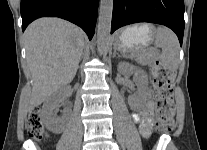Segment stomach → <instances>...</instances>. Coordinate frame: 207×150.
<instances>
[{
    "label": "stomach",
    "mask_w": 207,
    "mask_h": 150,
    "mask_svg": "<svg viewBox=\"0 0 207 150\" xmlns=\"http://www.w3.org/2000/svg\"><path fill=\"white\" fill-rule=\"evenodd\" d=\"M153 26L137 24L125 28L115 37V48L120 52H140L152 39Z\"/></svg>",
    "instance_id": "obj_1"
}]
</instances>
